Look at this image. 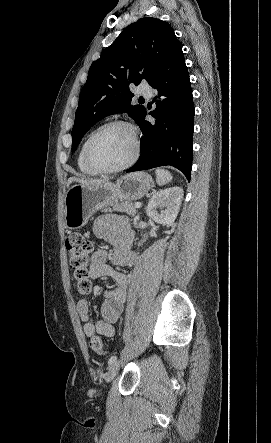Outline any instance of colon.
<instances>
[{"label": "colon", "mask_w": 271, "mask_h": 443, "mask_svg": "<svg viewBox=\"0 0 271 443\" xmlns=\"http://www.w3.org/2000/svg\"><path fill=\"white\" fill-rule=\"evenodd\" d=\"M66 248L77 289L82 294H88L92 288L89 261L93 251V243L81 234H73L66 240ZM90 347L99 355L106 353L102 340L98 336L91 338Z\"/></svg>", "instance_id": "colon-1"}]
</instances>
